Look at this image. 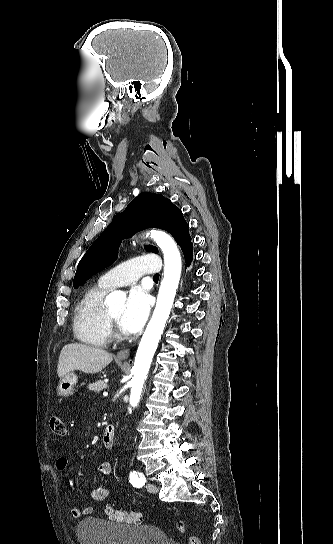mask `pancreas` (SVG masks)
Listing matches in <instances>:
<instances>
[{"label": "pancreas", "instance_id": "pancreas-1", "mask_svg": "<svg viewBox=\"0 0 333 544\" xmlns=\"http://www.w3.org/2000/svg\"><path fill=\"white\" fill-rule=\"evenodd\" d=\"M88 388L91 391L99 393L100 391L107 388V384L102 380H98L97 382L90 384Z\"/></svg>", "mask_w": 333, "mask_h": 544}]
</instances>
